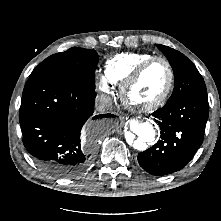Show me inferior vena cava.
Here are the masks:
<instances>
[{
	"label": "inferior vena cava",
	"instance_id": "inferior-vena-cava-1",
	"mask_svg": "<svg viewBox=\"0 0 221 221\" xmlns=\"http://www.w3.org/2000/svg\"><path fill=\"white\" fill-rule=\"evenodd\" d=\"M113 106L111 97L107 95H101L95 100V108L97 111L104 112L111 110Z\"/></svg>",
	"mask_w": 221,
	"mask_h": 221
}]
</instances>
